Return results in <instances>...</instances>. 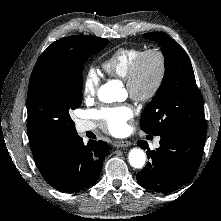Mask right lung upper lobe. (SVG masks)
Masks as SVG:
<instances>
[{"mask_svg":"<svg viewBox=\"0 0 221 221\" xmlns=\"http://www.w3.org/2000/svg\"><path fill=\"white\" fill-rule=\"evenodd\" d=\"M80 36L65 37L52 43L37 60L30 81L43 64L50 63L63 54L74 52ZM27 127L33 157L40 171L49 165L55 153L66 141L78 136L76 129L63 132L52 131L36 125L30 118L27 120Z\"/></svg>","mask_w":221,"mask_h":221,"instance_id":"cb5924a9","label":"right lung upper lobe"}]
</instances>
